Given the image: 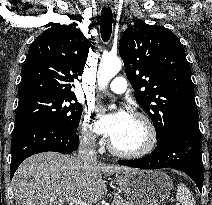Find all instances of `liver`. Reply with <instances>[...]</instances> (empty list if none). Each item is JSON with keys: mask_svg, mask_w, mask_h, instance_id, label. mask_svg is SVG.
<instances>
[{"mask_svg": "<svg viewBox=\"0 0 212 205\" xmlns=\"http://www.w3.org/2000/svg\"><path fill=\"white\" fill-rule=\"evenodd\" d=\"M133 170L126 166L84 163L78 156L57 152L39 153L24 160L13 177L15 204L63 205L65 198L97 202L107 193L105 175Z\"/></svg>", "mask_w": 212, "mask_h": 205, "instance_id": "liver-1", "label": "liver"}]
</instances>
